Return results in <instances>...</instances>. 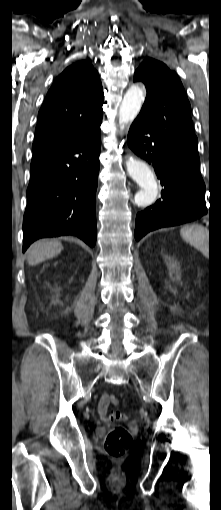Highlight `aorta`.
Masks as SVG:
<instances>
[{"instance_id":"762f6f07","label":"aorta","mask_w":221,"mask_h":510,"mask_svg":"<svg viewBox=\"0 0 221 510\" xmlns=\"http://www.w3.org/2000/svg\"><path fill=\"white\" fill-rule=\"evenodd\" d=\"M145 99V93L137 85L131 86L124 95L119 109V125L124 128L138 115ZM129 176L139 185L134 201L139 207L151 205L158 193V185L150 167L141 160L130 159L126 162Z\"/></svg>"}]
</instances>
